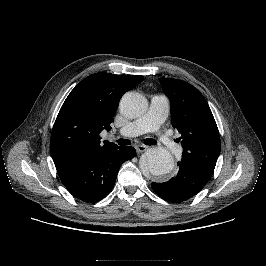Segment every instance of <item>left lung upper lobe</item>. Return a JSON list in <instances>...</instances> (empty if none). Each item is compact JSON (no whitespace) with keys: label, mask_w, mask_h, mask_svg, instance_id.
I'll return each mask as SVG.
<instances>
[{"label":"left lung upper lobe","mask_w":266,"mask_h":266,"mask_svg":"<svg viewBox=\"0 0 266 266\" xmlns=\"http://www.w3.org/2000/svg\"><path fill=\"white\" fill-rule=\"evenodd\" d=\"M171 103L172 126L180 133L183 154L180 163L212 176L221 150L219 131L203 95L191 84L161 78Z\"/></svg>","instance_id":"left-lung-upper-lobe-1"}]
</instances>
